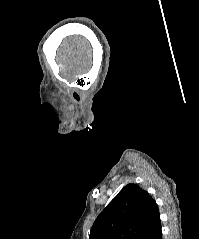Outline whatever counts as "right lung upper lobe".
Returning <instances> with one entry per match:
<instances>
[{"label":"right lung upper lobe","instance_id":"1","mask_svg":"<svg viewBox=\"0 0 199 239\" xmlns=\"http://www.w3.org/2000/svg\"><path fill=\"white\" fill-rule=\"evenodd\" d=\"M158 206L137 184L126 185L95 220L89 239H141L159 220Z\"/></svg>","mask_w":199,"mask_h":239}]
</instances>
